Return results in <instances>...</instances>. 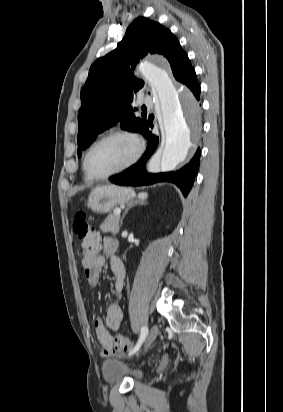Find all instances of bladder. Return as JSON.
<instances>
[{
  "instance_id": "1",
  "label": "bladder",
  "mask_w": 283,
  "mask_h": 412,
  "mask_svg": "<svg viewBox=\"0 0 283 412\" xmlns=\"http://www.w3.org/2000/svg\"><path fill=\"white\" fill-rule=\"evenodd\" d=\"M102 376L109 383H118L129 378L133 383L143 379L142 370L130 368L125 362L118 360H106L102 364Z\"/></svg>"
}]
</instances>
